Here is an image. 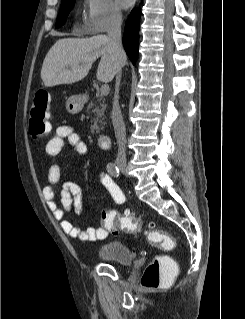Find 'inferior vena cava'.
Instances as JSON below:
<instances>
[{"label": "inferior vena cava", "instance_id": "602c4592", "mask_svg": "<svg viewBox=\"0 0 245 319\" xmlns=\"http://www.w3.org/2000/svg\"><path fill=\"white\" fill-rule=\"evenodd\" d=\"M121 25L122 15L119 12H114L110 19V25L108 28V37L110 40V46L114 52L115 58L118 62L122 60L125 53L122 49V38H121ZM121 80V69H118L115 84V96L113 102V108L111 118L115 131V137L118 145L117 161H125V145H126V129L123 122L121 110L118 101L119 85Z\"/></svg>", "mask_w": 245, "mask_h": 319}]
</instances>
